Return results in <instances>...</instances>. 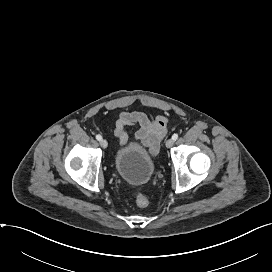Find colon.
<instances>
[{
	"label": "colon",
	"mask_w": 272,
	"mask_h": 272,
	"mask_svg": "<svg viewBox=\"0 0 272 272\" xmlns=\"http://www.w3.org/2000/svg\"><path fill=\"white\" fill-rule=\"evenodd\" d=\"M135 202H136L137 206L142 207V208L148 206V204H149L148 198L142 193H136Z\"/></svg>",
	"instance_id": "5ec220e1"
}]
</instances>
